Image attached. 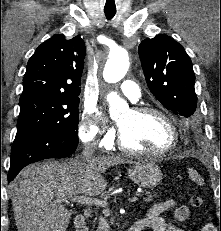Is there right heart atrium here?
Masks as SVG:
<instances>
[{
    "label": "right heart atrium",
    "instance_id": "obj_1",
    "mask_svg": "<svg viewBox=\"0 0 221 231\" xmlns=\"http://www.w3.org/2000/svg\"><path fill=\"white\" fill-rule=\"evenodd\" d=\"M78 133L82 142L98 148L109 146L114 139V131L103 125L102 115L93 104L85 106Z\"/></svg>",
    "mask_w": 221,
    "mask_h": 231
}]
</instances>
